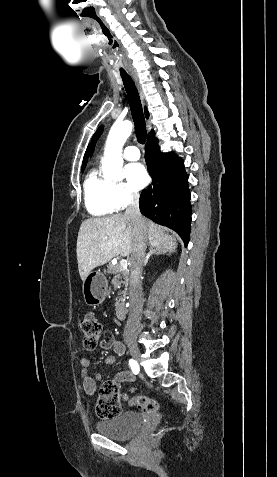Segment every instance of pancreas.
<instances>
[{
	"instance_id": "cf45deb5",
	"label": "pancreas",
	"mask_w": 277,
	"mask_h": 477,
	"mask_svg": "<svg viewBox=\"0 0 277 477\" xmlns=\"http://www.w3.org/2000/svg\"><path fill=\"white\" fill-rule=\"evenodd\" d=\"M106 272L108 274H113L114 279H117V285L120 288V286L123 284L125 287L128 286V280H129V271L128 270H123L120 268L119 264L116 265H109L106 269ZM123 277L124 280L121 279ZM119 299H123L126 296V289L122 292H119Z\"/></svg>"
}]
</instances>
